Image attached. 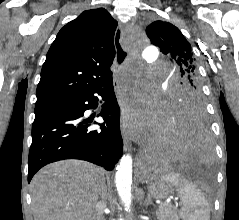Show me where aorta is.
<instances>
[{
  "mask_svg": "<svg viewBox=\"0 0 239 220\" xmlns=\"http://www.w3.org/2000/svg\"><path fill=\"white\" fill-rule=\"evenodd\" d=\"M126 40H136L135 33H126ZM126 46H138V45H126ZM143 61H147V64H150V61L157 60V48H145ZM138 66V65H136ZM132 157L131 155H124L119 165L116 168L115 174V183L116 188L119 194V197L124 204L126 210L130 209L132 202V193H131V184H132Z\"/></svg>",
  "mask_w": 239,
  "mask_h": 220,
  "instance_id": "aorta-1",
  "label": "aorta"
}]
</instances>
